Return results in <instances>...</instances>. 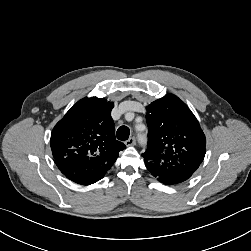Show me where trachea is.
Listing matches in <instances>:
<instances>
[{
  "label": "trachea",
  "instance_id": "obj_1",
  "mask_svg": "<svg viewBox=\"0 0 251 251\" xmlns=\"http://www.w3.org/2000/svg\"><path fill=\"white\" fill-rule=\"evenodd\" d=\"M116 135L118 140L125 141L129 138L130 130L127 126H120Z\"/></svg>",
  "mask_w": 251,
  "mask_h": 251
}]
</instances>
